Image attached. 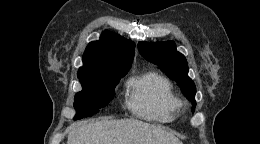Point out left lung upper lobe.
Here are the masks:
<instances>
[{
  "label": "left lung upper lobe",
  "mask_w": 260,
  "mask_h": 144,
  "mask_svg": "<svg viewBox=\"0 0 260 144\" xmlns=\"http://www.w3.org/2000/svg\"><path fill=\"white\" fill-rule=\"evenodd\" d=\"M140 54L148 61L158 65L163 72L180 84L183 94L195 105L194 96L196 87L191 78L188 77V64L183 54L176 50L173 41L148 43L141 41L138 43ZM194 112L195 109H192Z\"/></svg>",
  "instance_id": "obj_1"
}]
</instances>
